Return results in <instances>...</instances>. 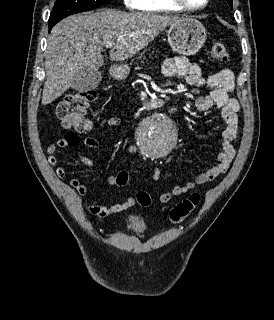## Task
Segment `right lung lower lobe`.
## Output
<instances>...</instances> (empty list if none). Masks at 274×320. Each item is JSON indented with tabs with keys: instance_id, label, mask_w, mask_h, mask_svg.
Here are the masks:
<instances>
[{
	"instance_id": "1",
	"label": "right lung lower lobe",
	"mask_w": 274,
	"mask_h": 320,
	"mask_svg": "<svg viewBox=\"0 0 274 320\" xmlns=\"http://www.w3.org/2000/svg\"><path fill=\"white\" fill-rule=\"evenodd\" d=\"M55 24H48L49 26V32L51 31L52 27L54 26Z\"/></svg>"
}]
</instances>
